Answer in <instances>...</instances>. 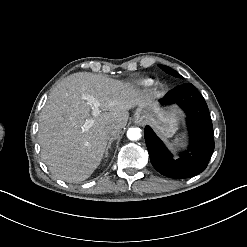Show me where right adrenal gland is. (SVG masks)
I'll return each instance as SVG.
<instances>
[{
  "instance_id": "right-adrenal-gland-1",
  "label": "right adrenal gland",
  "mask_w": 247,
  "mask_h": 247,
  "mask_svg": "<svg viewBox=\"0 0 247 247\" xmlns=\"http://www.w3.org/2000/svg\"><path fill=\"white\" fill-rule=\"evenodd\" d=\"M112 141L113 140H110L108 142V145L106 146V148L104 150L103 160H105L107 158V156H108L109 149L112 147Z\"/></svg>"
}]
</instances>
